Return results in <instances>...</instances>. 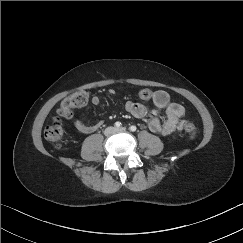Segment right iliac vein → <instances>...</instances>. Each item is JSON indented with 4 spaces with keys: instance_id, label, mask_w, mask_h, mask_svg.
Wrapping results in <instances>:
<instances>
[{
    "instance_id": "63e3f726",
    "label": "right iliac vein",
    "mask_w": 243,
    "mask_h": 243,
    "mask_svg": "<svg viewBox=\"0 0 243 243\" xmlns=\"http://www.w3.org/2000/svg\"><path fill=\"white\" fill-rule=\"evenodd\" d=\"M114 131H115V128H113V127H108L107 130H106V133H107V134H111V133H113Z\"/></svg>"
}]
</instances>
